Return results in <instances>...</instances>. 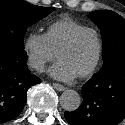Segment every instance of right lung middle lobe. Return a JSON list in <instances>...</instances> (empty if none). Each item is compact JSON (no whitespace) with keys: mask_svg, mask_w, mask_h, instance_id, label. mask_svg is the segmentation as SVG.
I'll use <instances>...</instances> for the list:
<instances>
[{"mask_svg":"<svg viewBox=\"0 0 125 125\" xmlns=\"http://www.w3.org/2000/svg\"><path fill=\"white\" fill-rule=\"evenodd\" d=\"M53 10L23 0H0V41L24 49L26 29Z\"/></svg>","mask_w":125,"mask_h":125,"instance_id":"right-lung-middle-lobe-1","label":"right lung middle lobe"}]
</instances>
